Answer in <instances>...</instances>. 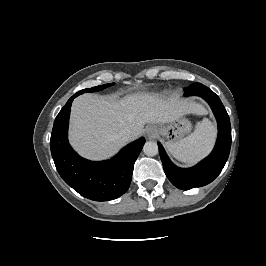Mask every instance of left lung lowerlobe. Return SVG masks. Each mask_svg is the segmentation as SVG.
<instances>
[{
	"label": "left lung lower lobe",
	"mask_w": 266,
	"mask_h": 266,
	"mask_svg": "<svg viewBox=\"0 0 266 266\" xmlns=\"http://www.w3.org/2000/svg\"><path fill=\"white\" fill-rule=\"evenodd\" d=\"M184 95H197L205 99L218 122V138L211 154L192 168H179L168 158L164 148L158 143L164 171L171 183L179 189L189 190L212 182L223 169L231 148V125L225 107L219 97L208 87L194 83L184 89Z\"/></svg>",
	"instance_id": "0a47b994"
}]
</instances>
